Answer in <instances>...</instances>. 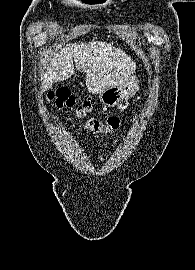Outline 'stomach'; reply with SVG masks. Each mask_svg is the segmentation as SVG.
<instances>
[{
    "label": "stomach",
    "mask_w": 195,
    "mask_h": 270,
    "mask_svg": "<svg viewBox=\"0 0 195 270\" xmlns=\"http://www.w3.org/2000/svg\"><path fill=\"white\" fill-rule=\"evenodd\" d=\"M137 89L135 77H131L126 83L116 87H110L99 94L100 101L109 107H114L123 99L133 96Z\"/></svg>",
    "instance_id": "obj_1"
}]
</instances>
